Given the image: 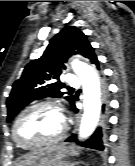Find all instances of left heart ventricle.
I'll return each instance as SVG.
<instances>
[{"label": "left heart ventricle", "mask_w": 135, "mask_h": 166, "mask_svg": "<svg viewBox=\"0 0 135 166\" xmlns=\"http://www.w3.org/2000/svg\"><path fill=\"white\" fill-rule=\"evenodd\" d=\"M62 128L60 113L50 107L26 113L17 126V136L24 143H38L55 138Z\"/></svg>", "instance_id": "left-heart-ventricle-1"}]
</instances>
